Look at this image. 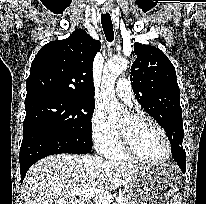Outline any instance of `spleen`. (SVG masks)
<instances>
[{
    "label": "spleen",
    "instance_id": "spleen-1",
    "mask_svg": "<svg viewBox=\"0 0 206 204\" xmlns=\"http://www.w3.org/2000/svg\"><path fill=\"white\" fill-rule=\"evenodd\" d=\"M170 204H181V197L179 196V194L173 196V198L170 201Z\"/></svg>",
    "mask_w": 206,
    "mask_h": 204
}]
</instances>
